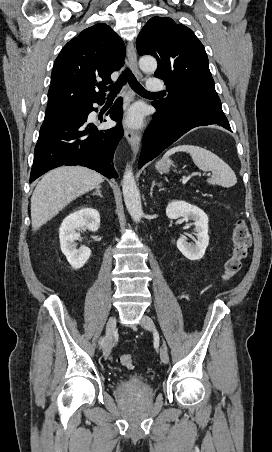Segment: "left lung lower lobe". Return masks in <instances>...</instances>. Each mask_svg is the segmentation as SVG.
I'll use <instances>...</instances> for the list:
<instances>
[{
	"label": "left lung lower lobe",
	"instance_id": "left-lung-lower-lobe-1",
	"mask_svg": "<svg viewBox=\"0 0 272 452\" xmlns=\"http://www.w3.org/2000/svg\"><path fill=\"white\" fill-rule=\"evenodd\" d=\"M153 105L158 112L153 115V123L144 133L139 168L195 127L217 125L231 131L221 107L194 104L179 110L167 111L155 102Z\"/></svg>",
	"mask_w": 272,
	"mask_h": 452
}]
</instances>
